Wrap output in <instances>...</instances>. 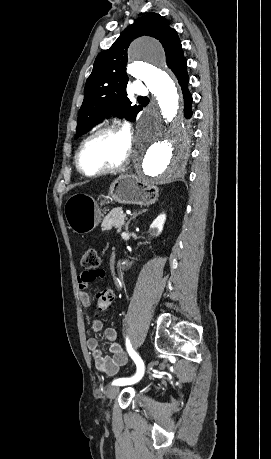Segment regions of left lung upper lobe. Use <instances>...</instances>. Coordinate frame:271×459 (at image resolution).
Here are the masks:
<instances>
[{
  "instance_id": "5c2ea615",
  "label": "left lung upper lobe",
  "mask_w": 271,
  "mask_h": 459,
  "mask_svg": "<svg viewBox=\"0 0 271 459\" xmlns=\"http://www.w3.org/2000/svg\"><path fill=\"white\" fill-rule=\"evenodd\" d=\"M151 36L160 41L167 66L172 70L183 56L182 45L170 22L156 13H148L130 25L108 50L98 54L93 70L84 88V101L77 118L76 138L88 132L104 117L116 115L134 121L142 110L132 106L126 97L128 76L125 72L127 49L140 36Z\"/></svg>"
}]
</instances>
